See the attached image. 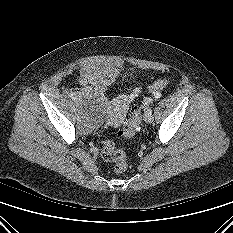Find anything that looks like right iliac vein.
Returning a JSON list of instances; mask_svg holds the SVG:
<instances>
[{"label":"right iliac vein","instance_id":"1","mask_svg":"<svg viewBox=\"0 0 233 233\" xmlns=\"http://www.w3.org/2000/svg\"><path fill=\"white\" fill-rule=\"evenodd\" d=\"M76 103H77V105L79 106V101H77Z\"/></svg>","mask_w":233,"mask_h":233}]
</instances>
